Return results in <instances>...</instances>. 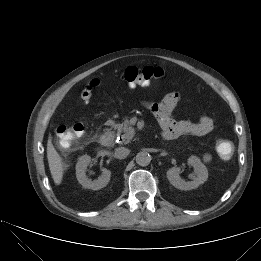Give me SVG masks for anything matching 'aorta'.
<instances>
[{"label": "aorta", "mask_w": 261, "mask_h": 261, "mask_svg": "<svg viewBox=\"0 0 261 261\" xmlns=\"http://www.w3.org/2000/svg\"><path fill=\"white\" fill-rule=\"evenodd\" d=\"M135 158H136V163L140 166H148L151 162V156L146 151L137 153Z\"/></svg>", "instance_id": "762f6f07"}]
</instances>
